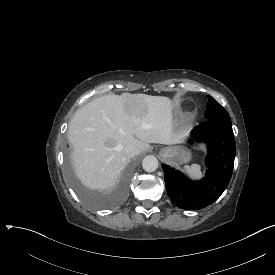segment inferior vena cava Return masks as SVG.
I'll use <instances>...</instances> for the list:
<instances>
[{
	"label": "inferior vena cava",
	"mask_w": 275,
	"mask_h": 275,
	"mask_svg": "<svg viewBox=\"0 0 275 275\" xmlns=\"http://www.w3.org/2000/svg\"><path fill=\"white\" fill-rule=\"evenodd\" d=\"M124 154L131 158V157H134L135 155H138L139 154V151L137 150V148L133 145H127L125 148H124Z\"/></svg>",
	"instance_id": "obj_1"
}]
</instances>
